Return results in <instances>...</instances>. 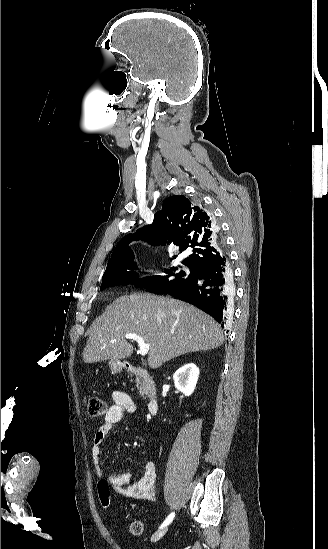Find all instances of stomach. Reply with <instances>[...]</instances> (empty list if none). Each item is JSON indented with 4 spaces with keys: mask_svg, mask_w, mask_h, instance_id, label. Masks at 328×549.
Masks as SVG:
<instances>
[{
    "mask_svg": "<svg viewBox=\"0 0 328 549\" xmlns=\"http://www.w3.org/2000/svg\"><path fill=\"white\" fill-rule=\"evenodd\" d=\"M108 365L112 373H122L123 369L130 367L127 361H118V359H111V361H108Z\"/></svg>",
    "mask_w": 328,
    "mask_h": 549,
    "instance_id": "obj_1",
    "label": "stomach"
}]
</instances>
